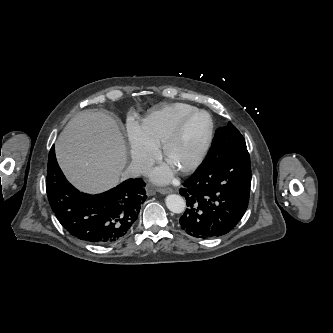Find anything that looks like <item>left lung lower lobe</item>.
<instances>
[{
  "label": "left lung lower lobe",
  "mask_w": 333,
  "mask_h": 333,
  "mask_svg": "<svg viewBox=\"0 0 333 333\" xmlns=\"http://www.w3.org/2000/svg\"><path fill=\"white\" fill-rule=\"evenodd\" d=\"M234 133L239 131L227 126L217 129L211 148ZM183 186L180 194L186 199L187 209L179 222L184 231L198 238H213L230 232L249 203L251 163L247 149L227 158L208 153Z\"/></svg>",
  "instance_id": "left-lung-lower-lobe-1"
}]
</instances>
